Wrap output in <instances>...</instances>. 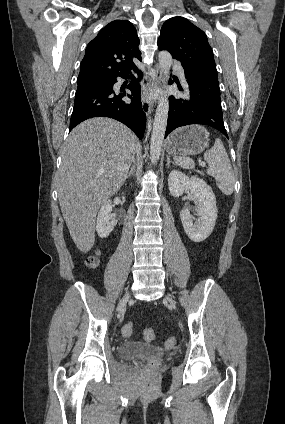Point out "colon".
Here are the masks:
<instances>
[{"mask_svg": "<svg viewBox=\"0 0 285 424\" xmlns=\"http://www.w3.org/2000/svg\"><path fill=\"white\" fill-rule=\"evenodd\" d=\"M99 264V258L97 256H91L87 259L86 265L89 268H96ZM134 331V325L132 322L126 323L123 327L122 333L124 336H131ZM143 337L146 341H152L155 337L154 330L152 328H146L143 331ZM176 343V339L174 337H170L167 339V345L173 346Z\"/></svg>", "mask_w": 285, "mask_h": 424, "instance_id": "1", "label": "colon"}]
</instances>
